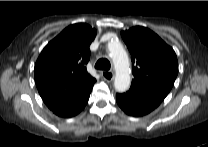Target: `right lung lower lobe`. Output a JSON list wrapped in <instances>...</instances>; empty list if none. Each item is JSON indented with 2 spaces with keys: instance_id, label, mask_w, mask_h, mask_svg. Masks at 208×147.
<instances>
[{
  "instance_id": "right-lung-lower-lobe-1",
  "label": "right lung lower lobe",
  "mask_w": 208,
  "mask_h": 147,
  "mask_svg": "<svg viewBox=\"0 0 208 147\" xmlns=\"http://www.w3.org/2000/svg\"><path fill=\"white\" fill-rule=\"evenodd\" d=\"M91 91L86 93L83 97H81L79 100L76 102L54 109L52 110L56 115L61 116V117H72L77 115L81 110L84 109L86 106L89 96H90Z\"/></svg>"
}]
</instances>
